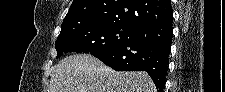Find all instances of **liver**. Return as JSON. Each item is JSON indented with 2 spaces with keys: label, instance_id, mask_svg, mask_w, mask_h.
<instances>
[{
  "label": "liver",
  "instance_id": "liver-1",
  "mask_svg": "<svg viewBox=\"0 0 225 92\" xmlns=\"http://www.w3.org/2000/svg\"><path fill=\"white\" fill-rule=\"evenodd\" d=\"M49 92H156L145 72H118L90 54L62 59L52 69Z\"/></svg>",
  "mask_w": 225,
  "mask_h": 92
}]
</instances>
